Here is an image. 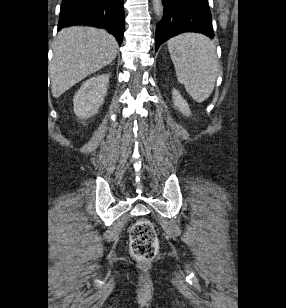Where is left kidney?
Masks as SVG:
<instances>
[{"instance_id": "1", "label": "left kidney", "mask_w": 286, "mask_h": 308, "mask_svg": "<svg viewBox=\"0 0 286 308\" xmlns=\"http://www.w3.org/2000/svg\"><path fill=\"white\" fill-rule=\"evenodd\" d=\"M172 100L174 107L178 109V111H180L183 115L187 117L191 115V111L187 101L181 96L179 91H177L176 89H173L172 91Z\"/></svg>"}]
</instances>
